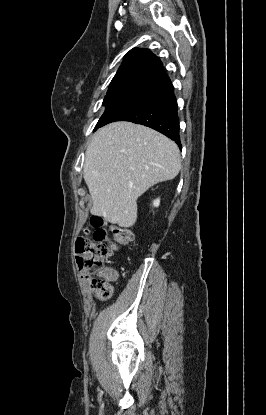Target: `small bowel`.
I'll return each instance as SVG.
<instances>
[{
	"mask_svg": "<svg viewBox=\"0 0 266 415\" xmlns=\"http://www.w3.org/2000/svg\"><path fill=\"white\" fill-rule=\"evenodd\" d=\"M108 271L111 274V280H115L117 278V275H118L116 268L115 267L109 268Z\"/></svg>",
	"mask_w": 266,
	"mask_h": 415,
	"instance_id": "obj_1",
	"label": "small bowel"
}]
</instances>
